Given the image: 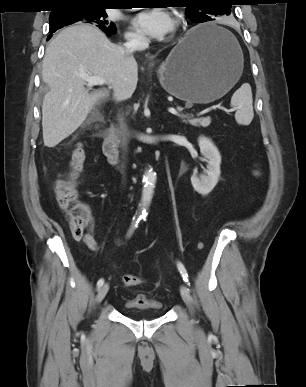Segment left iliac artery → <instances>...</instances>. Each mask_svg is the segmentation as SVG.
<instances>
[{
  "mask_svg": "<svg viewBox=\"0 0 306 387\" xmlns=\"http://www.w3.org/2000/svg\"><path fill=\"white\" fill-rule=\"evenodd\" d=\"M177 267H178V270L183 278V281L187 284V285H190L189 283V279H188V274H187V271L184 267V265L181 263V262H177Z\"/></svg>",
  "mask_w": 306,
  "mask_h": 387,
  "instance_id": "1",
  "label": "left iliac artery"
}]
</instances>
